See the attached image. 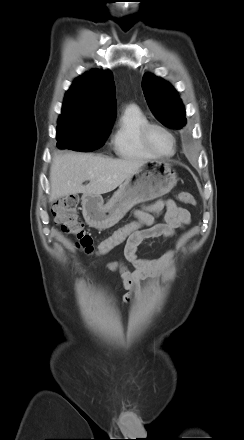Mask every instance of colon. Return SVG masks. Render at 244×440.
Instances as JSON below:
<instances>
[{"mask_svg": "<svg viewBox=\"0 0 244 440\" xmlns=\"http://www.w3.org/2000/svg\"><path fill=\"white\" fill-rule=\"evenodd\" d=\"M178 200L183 203L194 205L195 199L188 192H181L177 196ZM57 224L61 229L72 234L76 238V245L88 254L96 253L98 256H103L109 253L112 249L126 241L134 233L144 229L150 220L157 218L159 213L152 214L150 219H139L127 223L121 228L117 229L112 235L103 240L95 249L91 236L85 231L84 223L77 213V198L68 197L56 203L53 210ZM117 262L108 264L109 268L116 267Z\"/></svg>", "mask_w": 244, "mask_h": 440, "instance_id": "1", "label": "colon"}]
</instances>
